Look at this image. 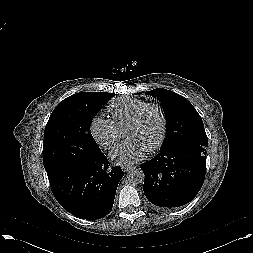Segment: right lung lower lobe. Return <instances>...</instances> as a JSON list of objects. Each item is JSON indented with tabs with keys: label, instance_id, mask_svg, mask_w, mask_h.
Instances as JSON below:
<instances>
[{
	"label": "right lung lower lobe",
	"instance_id": "1",
	"mask_svg": "<svg viewBox=\"0 0 253 253\" xmlns=\"http://www.w3.org/2000/svg\"><path fill=\"white\" fill-rule=\"evenodd\" d=\"M101 152L94 159L47 172L51 190L71 214L88 220L106 216L113 207L116 189L124 173L109 167Z\"/></svg>",
	"mask_w": 253,
	"mask_h": 253
}]
</instances>
